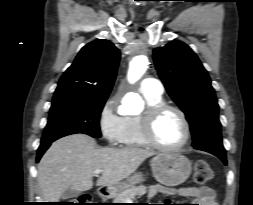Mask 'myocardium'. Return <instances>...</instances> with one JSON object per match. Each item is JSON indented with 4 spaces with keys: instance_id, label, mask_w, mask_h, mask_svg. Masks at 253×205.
<instances>
[{
    "instance_id": "obj_1",
    "label": "myocardium",
    "mask_w": 253,
    "mask_h": 205,
    "mask_svg": "<svg viewBox=\"0 0 253 205\" xmlns=\"http://www.w3.org/2000/svg\"><path fill=\"white\" fill-rule=\"evenodd\" d=\"M167 111H173L177 113L185 126V138L180 144L175 146H166L161 144L157 140L155 134V127L157 121ZM141 129L143 138L147 142V144L161 151L180 150L185 147L191 139V125L184 111L175 105H171L165 102L150 106L146 109V111L142 114Z\"/></svg>"
}]
</instances>
